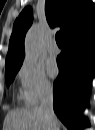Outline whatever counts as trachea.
<instances>
[{
  "instance_id": "obj_1",
  "label": "trachea",
  "mask_w": 95,
  "mask_h": 130,
  "mask_svg": "<svg viewBox=\"0 0 95 130\" xmlns=\"http://www.w3.org/2000/svg\"><path fill=\"white\" fill-rule=\"evenodd\" d=\"M55 39H56V42L59 46H63V41H62V35L60 32H57L56 35H55Z\"/></svg>"
}]
</instances>
